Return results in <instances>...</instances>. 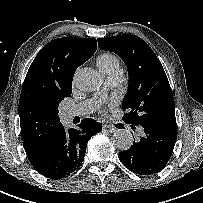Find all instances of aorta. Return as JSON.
I'll return each instance as SVG.
<instances>
[{
	"label": "aorta",
	"mask_w": 203,
	"mask_h": 203,
	"mask_svg": "<svg viewBox=\"0 0 203 203\" xmlns=\"http://www.w3.org/2000/svg\"><path fill=\"white\" fill-rule=\"evenodd\" d=\"M74 84L81 91L91 92L99 88L101 80L96 71L91 68H83L75 74ZM112 141L117 149L127 150L133 144V136L130 131L120 129L113 134Z\"/></svg>",
	"instance_id": "1"
}]
</instances>
